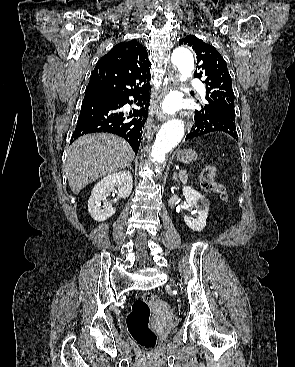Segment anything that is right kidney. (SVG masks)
Here are the masks:
<instances>
[{
    "instance_id": "obj_1",
    "label": "right kidney",
    "mask_w": 295,
    "mask_h": 367,
    "mask_svg": "<svg viewBox=\"0 0 295 367\" xmlns=\"http://www.w3.org/2000/svg\"><path fill=\"white\" fill-rule=\"evenodd\" d=\"M115 185L118 186V198H128L133 186L131 173L128 171L113 173L95 185L88 200V212L95 221H104L115 214L116 210L106 200L108 194L114 192Z\"/></svg>"
}]
</instances>
